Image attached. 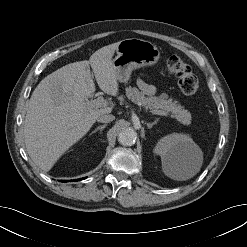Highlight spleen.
<instances>
[{"mask_svg":"<svg viewBox=\"0 0 247 247\" xmlns=\"http://www.w3.org/2000/svg\"><path fill=\"white\" fill-rule=\"evenodd\" d=\"M169 175L173 178H179V179H188L190 178L192 175H186L185 172L181 171V168H176V170L174 171H170Z\"/></svg>","mask_w":247,"mask_h":247,"instance_id":"3e777b00","label":"spleen"}]
</instances>
